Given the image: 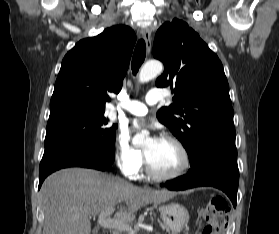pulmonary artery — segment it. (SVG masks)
<instances>
[{
	"mask_svg": "<svg viewBox=\"0 0 279 234\" xmlns=\"http://www.w3.org/2000/svg\"><path fill=\"white\" fill-rule=\"evenodd\" d=\"M163 97L164 95L161 90H152L149 91L145 97L146 103L138 100H128L121 105V109L130 114L142 116L145 115L148 111L147 105H154L161 101Z\"/></svg>",
	"mask_w": 279,
	"mask_h": 234,
	"instance_id": "pulmonary-artery-1",
	"label": "pulmonary artery"
}]
</instances>
